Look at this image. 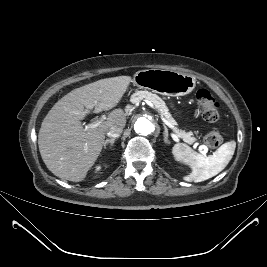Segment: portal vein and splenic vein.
Returning a JSON list of instances; mask_svg holds the SVG:
<instances>
[{
    "mask_svg": "<svg viewBox=\"0 0 267 267\" xmlns=\"http://www.w3.org/2000/svg\"><path fill=\"white\" fill-rule=\"evenodd\" d=\"M146 103L159 114L160 118L162 119V121L167 126H169L170 128L174 129V127L170 123H168V121L163 117V115L160 113V111L154 106V104L151 101L146 100ZM102 123H103V119L96 120V121L92 122L91 124H88L85 127V130L96 128V127L100 126ZM172 135L176 136L175 134H172ZM201 149H204L205 151H208V148L206 146H204V145L201 146Z\"/></svg>",
    "mask_w": 267,
    "mask_h": 267,
    "instance_id": "1",
    "label": "portal vein and splenic vein"
}]
</instances>
